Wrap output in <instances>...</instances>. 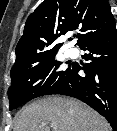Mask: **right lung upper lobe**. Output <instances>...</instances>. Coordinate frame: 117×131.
<instances>
[{
	"label": "right lung upper lobe",
	"mask_w": 117,
	"mask_h": 131,
	"mask_svg": "<svg viewBox=\"0 0 117 131\" xmlns=\"http://www.w3.org/2000/svg\"><path fill=\"white\" fill-rule=\"evenodd\" d=\"M115 25L107 0H44L26 20L11 70L57 52L62 43L56 39L69 31H80L76 44L80 47Z\"/></svg>",
	"instance_id": "1"
}]
</instances>
